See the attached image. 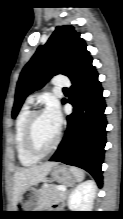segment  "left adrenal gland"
Masks as SVG:
<instances>
[{
	"mask_svg": "<svg viewBox=\"0 0 123 219\" xmlns=\"http://www.w3.org/2000/svg\"><path fill=\"white\" fill-rule=\"evenodd\" d=\"M68 193H69V191L66 192V194H65V198L67 197V194H68ZM63 205H64V203H63Z\"/></svg>",
	"mask_w": 123,
	"mask_h": 219,
	"instance_id": "obj_1",
	"label": "left adrenal gland"
}]
</instances>
